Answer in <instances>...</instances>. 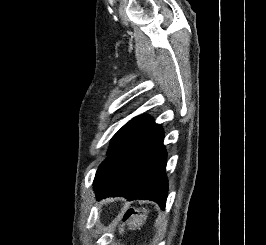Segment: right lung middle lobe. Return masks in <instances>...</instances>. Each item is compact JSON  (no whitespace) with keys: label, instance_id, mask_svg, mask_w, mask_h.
Masks as SVG:
<instances>
[{"label":"right lung middle lobe","instance_id":"obj_1","mask_svg":"<svg viewBox=\"0 0 266 245\" xmlns=\"http://www.w3.org/2000/svg\"><path fill=\"white\" fill-rule=\"evenodd\" d=\"M148 122L145 121H130L122 127L113 137L108 154L110 155L119 146H121L127 139L144 127Z\"/></svg>","mask_w":266,"mask_h":245}]
</instances>
